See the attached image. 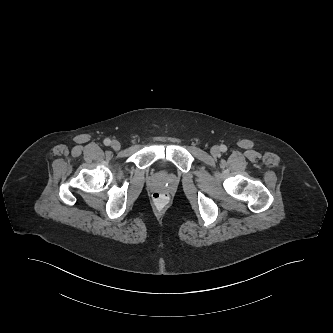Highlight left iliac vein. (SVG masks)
Returning a JSON list of instances; mask_svg holds the SVG:
<instances>
[{
  "label": "left iliac vein",
  "mask_w": 333,
  "mask_h": 333,
  "mask_svg": "<svg viewBox=\"0 0 333 333\" xmlns=\"http://www.w3.org/2000/svg\"><path fill=\"white\" fill-rule=\"evenodd\" d=\"M220 153H221V151H220V148H219L218 146H213V147L211 148V154H212L214 157L219 156Z\"/></svg>",
  "instance_id": "4c4485c4"
}]
</instances>
